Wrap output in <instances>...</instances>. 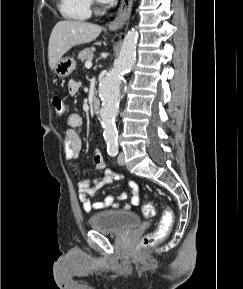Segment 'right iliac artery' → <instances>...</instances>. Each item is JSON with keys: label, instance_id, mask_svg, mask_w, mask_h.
Instances as JSON below:
<instances>
[{"label": "right iliac artery", "instance_id": "82829eb1", "mask_svg": "<svg viewBox=\"0 0 243 289\" xmlns=\"http://www.w3.org/2000/svg\"><path fill=\"white\" fill-rule=\"evenodd\" d=\"M110 156H115L117 154V152L115 151H111V152H108Z\"/></svg>", "mask_w": 243, "mask_h": 289}]
</instances>
